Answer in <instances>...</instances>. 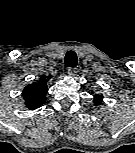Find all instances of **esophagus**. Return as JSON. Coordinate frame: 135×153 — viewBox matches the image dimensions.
<instances>
[{
    "label": "esophagus",
    "instance_id": "34e87169",
    "mask_svg": "<svg viewBox=\"0 0 135 153\" xmlns=\"http://www.w3.org/2000/svg\"><path fill=\"white\" fill-rule=\"evenodd\" d=\"M78 71L76 68H69L68 69V74L71 76V77H75L77 75Z\"/></svg>",
    "mask_w": 135,
    "mask_h": 153
}]
</instances>
